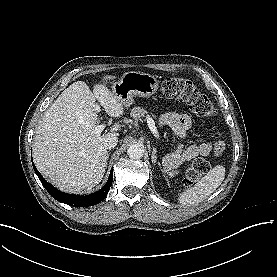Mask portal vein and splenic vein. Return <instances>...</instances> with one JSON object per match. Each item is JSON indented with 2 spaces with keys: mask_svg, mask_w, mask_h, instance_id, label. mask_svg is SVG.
I'll list each match as a JSON object with an SVG mask.
<instances>
[{
  "mask_svg": "<svg viewBox=\"0 0 277 277\" xmlns=\"http://www.w3.org/2000/svg\"><path fill=\"white\" fill-rule=\"evenodd\" d=\"M96 110H100V107L97 105L96 106ZM146 120H147V124H148V127L149 129L151 130V132L153 133V135L159 139L160 135H159V132L155 126V122L154 120L150 117V116H147L146 117ZM105 128V125L104 124H101V125H98L96 128H95V132L96 134H100Z\"/></svg>",
  "mask_w": 277,
  "mask_h": 277,
  "instance_id": "portal-vein-and-splenic-vein-1",
  "label": "portal vein and splenic vein"
}]
</instances>
